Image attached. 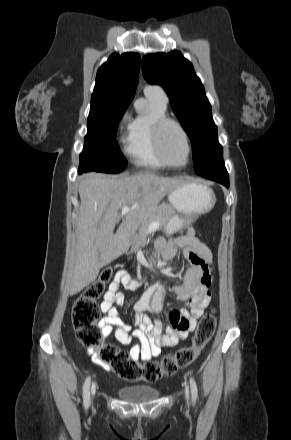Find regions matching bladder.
<instances>
[{"instance_id": "obj_1", "label": "bladder", "mask_w": 291, "mask_h": 440, "mask_svg": "<svg viewBox=\"0 0 291 440\" xmlns=\"http://www.w3.org/2000/svg\"><path fill=\"white\" fill-rule=\"evenodd\" d=\"M118 395L127 402L151 401L157 398L159 390L149 386H129L120 388Z\"/></svg>"}]
</instances>
